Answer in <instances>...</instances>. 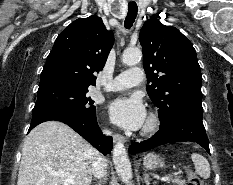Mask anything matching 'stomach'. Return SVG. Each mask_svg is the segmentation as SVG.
Here are the masks:
<instances>
[{
    "mask_svg": "<svg viewBox=\"0 0 233 185\" xmlns=\"http://www.w3.org/2000/svg\"><path fill=\"white\" fill-rule=\"evenodd\" d=\"M143 164L146 169L153 170L158 167H162L164 162L159 155L155 153H148L143 159Z\"/></svg>",
    "mask_w": 233,
    "mask_h": 185,
    "instance_id": "0dacf381",
    "label": "stomach"
}]
</instances>
